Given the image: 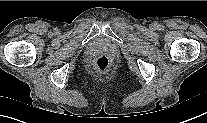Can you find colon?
Instances as JSON below:
<instances>
[{"mask_svg": "<svg viewBox=\"0 0 207 123\" xmlns=\"http://www.w3.org/2000/svg\"><path fill=\"white\" fill-rule=\"evenodd\" d=\"M94 65L100 71H107L110 68V61L107 57L101 56L96 59Z\"/></svg>", "mask_w": 207, "mask_h": 123, "instance_id": "5ec220e1", "label": "colon"}]
</instances>
